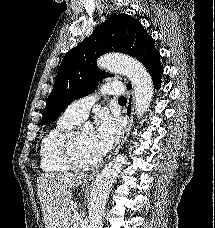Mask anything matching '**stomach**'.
I'll return each instance as SVG.
<instances>
[{
    "label": "stomach",
    "instance_id": "0dacf381",
    "mask_svg": "<svg viewBox=\"0 0 215 228\" xmlns=\"http://www.w3.org/2000/svg\"><path fill=\"white\" fill-rule=\"evenodd\" d=\"M84 182L85 184H88V186H93V182H91L90 176H86V178H84Z\"/></svg>",
    "mask_w": 215,
    "mask_h": 228
}]
</instances>
